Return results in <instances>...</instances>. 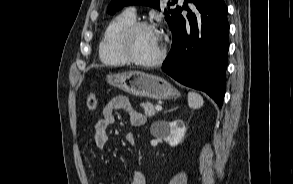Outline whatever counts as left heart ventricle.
<instances>
[{"label": "left heart ventricle", "instance_id": "obj_1", "mask_svg": "<svg viewBox=\"0 0 293 184\" xmlns=\"http://www.w3.org/2000/svg\"><path fill=\"white\" fill-rule=\"evenodd\" d=\"M162 48L160 36L153 30H138L131 42L133 55L140 60H152L156 58Z\"/></svg>", "mask_w": 293, "mask_h": 184}]
</instances>
